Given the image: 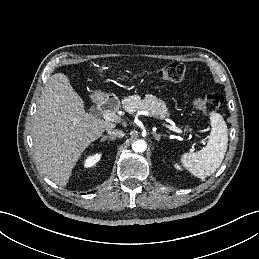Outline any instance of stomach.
Here are the masks:
<instances>
[{"label": "stomach", "mask_w": 259, "mask_h": 259, "mask_svg": "<svg viewBox=\"0 0 259 259\" xmlns=\"http://www.w3.org/2000/svg\"><path fill=\"white\" fill-rule=\"evenodd\" d=\"M106 69H107V67H105V65H102V66L99 67V69H98L97 72L101 74V73H103V71H105Z\"/></svg>", "instance_id": "stomach-1"}]
</instances>
